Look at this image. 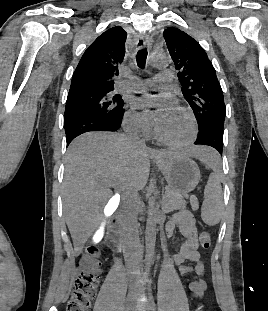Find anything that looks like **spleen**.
<instances>
[{"label": "spleen", "instance_id": "obj_1", "mask_svg": "<svg viewBox=\"0 0 268 311\" xmlns=\"http://www.w3.org/2000/svg\"><path fill=\"white\" fill-rule=\"evenodd\" d=\"M195 149L206 168L213 170L204 189L201 217L205 224L215 226L220 222L224 210L222 171L217 163L218 153L215 148H210L209 144H196Z\"/></svg>", "mask_w": 268, "mask_h": 311}]
</instances>
